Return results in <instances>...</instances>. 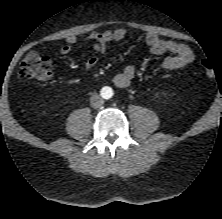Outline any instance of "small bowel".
Returning a JSON list of instances; mask_svg holds the SVG:
<instances>
[{"label":"small bowel","instance_id":"c3829d8e","mask_svg":"<svg viewBox=\"0 0 222 219\" xmlns=\"http://www.w3.org/2000/svg\"><path fill=\"white\" fill-rule=\"evenodd\" d=\"M127 36V31L123 28H116L105 31H95L84 38V42H91L94 54L90 55L85 64L84 71L91 72L98 63V56L106 51L108 43L119 41ZM67 43L60 48L63 55L71 51L72 45L78 42L75 36H69ZM145 41L154 55H169L163 60L161 66L166 72H172L183 69L194 60V54L191 49L183 44L173 40H163L156 33L150 32L146 35ZM136 75L134 65L126 66L121 72L113 77V83L119 88L128 87Z\"/></svg>","mask_w":222,"mask_h":219}]
</instances>
